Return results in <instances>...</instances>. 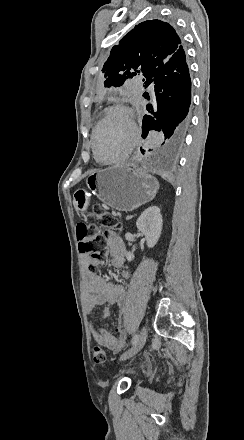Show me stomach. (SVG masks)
<instances>
[{
    "label": "stomach",
    "mask_w": 244,
    "mask_h": 440,
    "mask_svg": "<svg viewBox=\"0 0 244 440\" xmlns=\"http://www.w3.org/2000/svg\"><path fill=\"white\" fill-rule=\"evenodd\" d=\"M86 184L90 192L79 188L73 194L74 208L79 214L87 212L91 196H97L114 210L132 212L142 204L151 202L159 190L156 178L146 170L131 166H110L97 170L86 178Z\"/></svg>",
    "instance_id": "0dacf381"
}]
</instances>
